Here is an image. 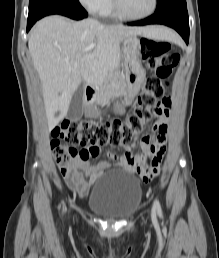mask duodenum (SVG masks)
I'll return each instance as SVG.
<instances>
[{
    "label": "duodenum",
    "mask_w": 219,
    "mask_h": 258,
    "mask_svg": "<svg viewBox=\"0 0 219 258\" xmlns=\"http://www.w3.org/2000/svg\"><path fill=\"white\" fill-rule=\"evenodd\" d=\"M85 103L91 105L96 103L97 91L90 85L85 87Z\"/></svg>",
    "instance_id": "duodenum-1"
}]
</instances>
